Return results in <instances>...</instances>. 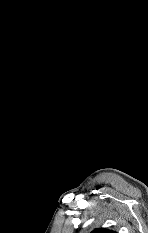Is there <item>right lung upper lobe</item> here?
Segmentation results:
<instances>
[{
  "label": "right lung upper lobe",
  "mask_w": 148,
  "mask_h": 233,
  "mask_svg": "<svg viewBox=\"0 0 148 233\" xmlns=\"http://www.w3.org/2000/svg\"><path fill=\"white\" fill-rule=\"evenodd\" d=\"M91 233H116L115 231L104 229V228H99L93 230Z\"/></svg>",
  "instance_id": "right-lung-upper-lobe-1"
}]
</instances>
